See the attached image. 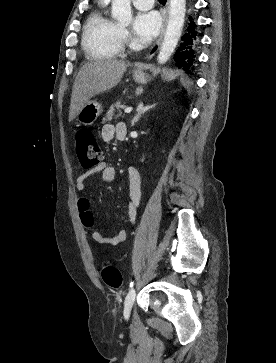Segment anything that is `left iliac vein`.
Returning a JSON list of instances; mask_svg holds the SVG:
<instances>
[{"label": "left iliac vein", "instance_id": "4c4485c4", "mask_svg": "<svg viewBox=\"0 0 276 363\" xmlns=\"http://www.w3.org/2000/svg\"><path fill=\"white\" fill-rule=\"evenodd\" d=\"M136 292L134 288H131L125 298L124 302V315L128 316L130 314V311L132 309V306L135 301Z\"/></svg>", "mask_w": 276, "mask_h": 363}]
</instances>
